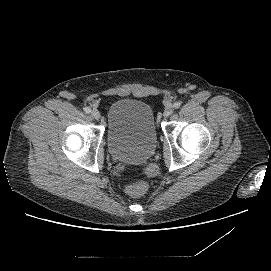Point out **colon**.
Returning a JSON list of instances; mask_svg holds the SVG:
<instances>
[{"instance_id": "colon-1", "label": "colon", "mask_w": 271, "mask_h": 271, "mask_svg": "<svg viewBox=\"0 0 271 271\" xmlns=\"http://www.w3.org/2000/svg\"><path fill=\"white\" fill-rule=\"evenodd\" d=\"M148 189V183L144 180H140L129 184L125 191L126 194L132 198H137L143 195Z\"/></svg>"}]
</instances>
